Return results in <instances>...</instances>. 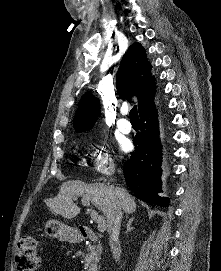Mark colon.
I'll return each mask as SVG.
<instances>
[{"label": "colon", "instance_id": "colon-1", "mask_svg": "<svg viewBox=\"0 0 221 271\" xmlns=\"http://www.w3.org/2000/svg\"><path fill=\"white\" fill-rule=\"evenodd\" d=\"M15 263L18 271H37L41 267L39 244L32 236H22L17 242Z\"/></svg>", "mask_w": 221, "mask_h": 271}]
</instances>
